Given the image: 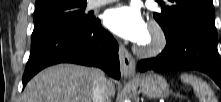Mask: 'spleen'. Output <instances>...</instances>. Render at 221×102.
<instances>
[{"mask_svg":"<svg viewBox=\"0 0 221 102\" xmlns=\"http://www.w3.org/2000/svg\"><path fill=\"white\" fill-rule=\"evenodd\" d=\"M180 79L192 86L199 102H216L213 91L202 79L187 73L181 74Z\"/></svg>","mask_w":221,"mask_h":102,"instance_id":"3e777b00","label":"spleen"}]
</instances>
